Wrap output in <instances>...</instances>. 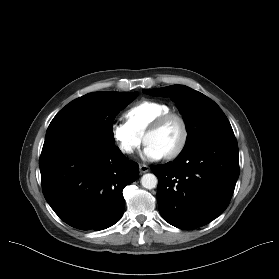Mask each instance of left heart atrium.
Instances as JSON below:
<instances>
[{
  "label": "left heart atrium",
  "mask_w": 279,
  "mask_h": 279,
  "mask_svg": "<svg viewBox=\"0 0 279 279\" xmlns=\"http://www.w3.org/2000/svg\"><path fill=\"white\" fill-rule=\"evenodd\" d=\"M143 155L151 161L160 160L164 157V154L152 144H146Z\"/></svg>",
  "instance_id": "left-heart-atrium-1"
}]
</instances>
